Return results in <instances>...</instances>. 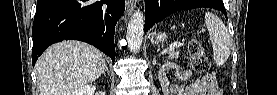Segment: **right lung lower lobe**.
I'll use <instances>...</instances> for the list:
<instances>
[{
  "mask_svg": "<svg viewBox=\"0 0 277 95\" xmlns=\"http://www.w3.org/2000/svg\"><path fill=\"white\" fill-rule=\"evenodd\" d=\"M125 0H37L32 35V63L53 43L79 40L115 61V25Z\"/></svg>",
  "mask_w": 277,
  "mask_h": 95,
  "instance_id": "98d812e1",
  "label": "right lung lower lobe"
}]
</instances>
